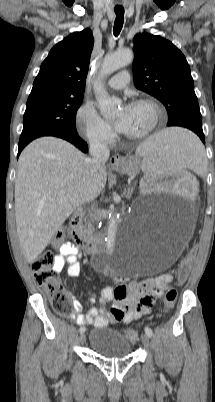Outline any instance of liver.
Listing matches in <instances>:
<instances>
[{
    "label": "liver",
    "instance_id": "1",
    "mask_svg": "<svg viewBox=\"0 0 215 402\" xmlns=\"http://www.w3.org/2000/svg\"><path fill=\"white\" fill-rule=\"evenodd\" d=\"M90 160L72 144L55 137L38 138L20 154L15 216L28 263L37 259L77 207L94 199L105 187L106 167L94 173Z\"/></svg>",
    "mask_w": 215,
    "mask_h": 402
}]
</instances>
